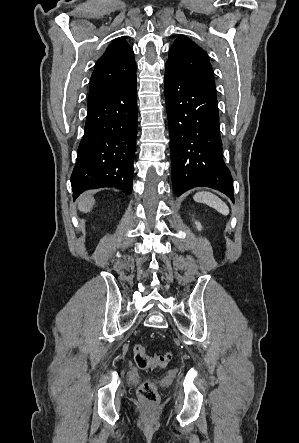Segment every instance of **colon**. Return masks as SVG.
Here are the masks:
<instances>
[{
  "label": "colon",
  "instance_id": "obj_1",
  "mask_svg": "<svg viewBox=\"0 0 299 443\" xmlns=\"http://www.w3.org/2000/svg\"><path fill=\"white\" fill-rule=\"evenodd\" d=\"M172 359L170 352L155 356H149L145 348L137 344L134 346V360L138 368L151 371L161 369L168 365ZM138 397L147 404H157L159 396L155 385L150 381H144L138 388Z\"/></svg>",
  "mask_w": 299,
  "mask_h": 443
}]
</instances>
